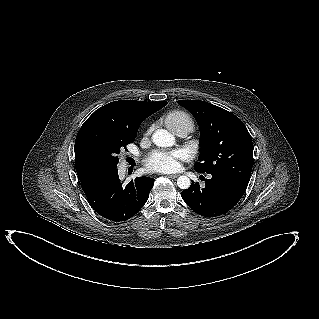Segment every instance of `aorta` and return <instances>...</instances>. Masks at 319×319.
<instances>
[{
  "label": "aorta",
  "mask_w": 319,
  "mask_h": 319,
  "mask_svg": "<svg viewBox=\"0 0 319 319\" xmlns=\"http://www.w3.org/2000/svg\"><path fill=\"white\" fill-rule=\"evenodd\" d=\"M152 140L159 147L173 146L175 143L173 135L164 129L156 130L152 135ZM190 184V179L187 176L182 175L177 179V185L180 189H187Z\"/></svg>",
  "instance_id": "obj_1"
}]
</instances>
